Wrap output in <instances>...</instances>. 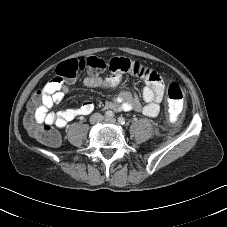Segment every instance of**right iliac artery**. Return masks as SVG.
<instances>
[{
  "mask_svg": "<svg viewBox=\"0 0 227 227\" xmlns=\"http://www.w3.org/2000/svg\"><path fill=\"white\" fill-rule=\"evenodd\" d=\"M105 116H106L107 118H112V117H114V113H113L112 111H106V112H105Z\"/></svg>",
  "mask_w": 227,
  "mask_h": 227,
  "instance_id": "82829eb1",
  "label": "right iliac artery"
}]
</instances>
